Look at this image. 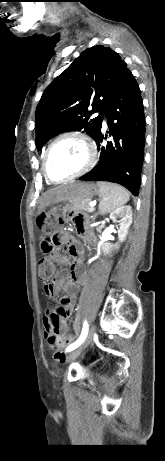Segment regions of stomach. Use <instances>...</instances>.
<instances>
[{
  "label": "stomach",
  "instance_id": "1",
  "mask_svg": "<svg viewBox=\"0 0 165 461\" xmlns=\"http://www.w3.org/2000/svg\"><path fill=\"white\" fill-rule=\"evenodd\" d=\"M97 186L92 182H72L51 191L40 209V214L47 207L62 201L73 199H91L98 193Z\"/></svg>",
  "mask_w": 165,
  "mask_h": 461
}]
</instances>
